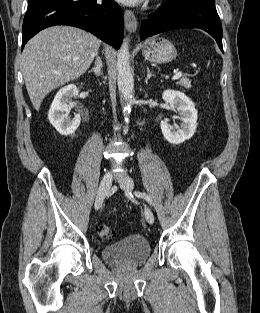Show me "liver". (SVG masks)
I'll list each match as a JSON object with an SVG mask.
<instances>
[{
	"label": "liver",
	"mask_w": 260,
	"mask_h": 313,
	"mask_svg": "<svg viewBox=\"0 0 260 313\" xmlns=\"http://www.w3.org/2000/svg\"><path fill=\"white\" fill-rule=\"evenodd\" d=\"M100 43L93 34L70 26L49 27L28 41L22 53L23 77L37 111L53 89L85 73Z\"/></svg>",
	"instance_id": "obj_1"
}]
</instances>
